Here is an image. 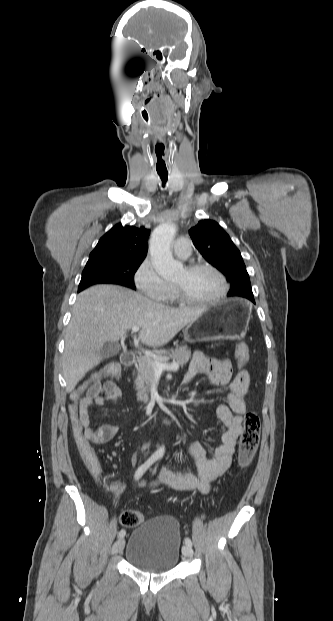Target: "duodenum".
<instances>
[{
  "mask_svg": "<svg viewBox=\"0 0 333 621\" xmlns=\"http://www.w3.org/2000/svg\"><path fill=\"white\" fill-rule=\"evenodd\" d=\"M136 362V354L134 352H126L121 355V363L126 367H131ZM158 420L163 422L172 421L173 417L171 413L160 412L157 416Z\"/></svg>",
  "mask_w": 333,
  "mask_h": 621,
  "instance_id": "1",
  "label": "duodenum"
}]
</instances>
